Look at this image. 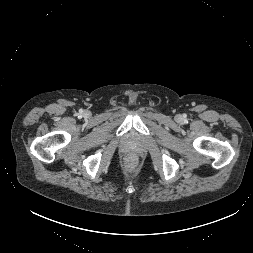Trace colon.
Wrapping results in <instances>:
<instances>
[{"label": "colon", "mask_w": 253, "mask_h": 253, "mask_svg": "<svg viewBox=\"0 0 253 253\" xmlns=\"http://www.w3.org/2000/svg\"><path fill=\"white\" fill-rule=\"evenodd\" d=\"M134 164H135L134 158L130 157V158L127 160V167L131 169V168L134 167Z\"/></svg>", "instance_id": "5ec220e1"}]
</instances>
